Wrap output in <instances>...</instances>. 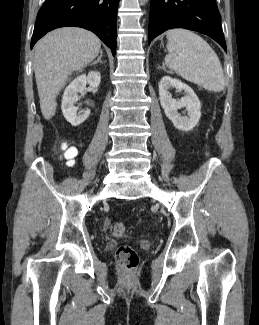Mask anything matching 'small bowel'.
I'll use <instances>...</instances> for the list:
<instances>
[{
    "label": "small bowel",
    "instance_id": "obj_1",
    "mask_svg": "<svg viewBox=\"0 0 259 325\" xmlns=\"http://www.w3.org/2000/svg\"><path fill=\"white\" fill-rule=\"evenodd\" d=\"M71 148L74 149L77 152V150L74 147H71Z\"/></svg>",
    "mask_w": 259,
    "mask_h": 325
}]
</instances>
